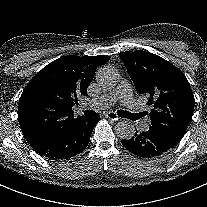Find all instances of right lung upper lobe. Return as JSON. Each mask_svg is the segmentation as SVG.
Segmentation results:
<instances>
[{
    "label": "right lung upper lobe",
    "mask_w": 207,
    "mask_h": 207,
    "mask_svg": "<svg viewBox=\"0 0 207 207\" xmlns=\"http://www.w3.org/2000/svg\"><path fill=\"white\" fill-rule=\"evenodd\" d=\"M110 56L61 57L39 71L24 89L18 105V120L28 143L36 148L76 117L72 107L87 95L97 67Z\"/></svg>",
    "instance_id": "right-lung-upper-lobe-1"
}]
</instances>
